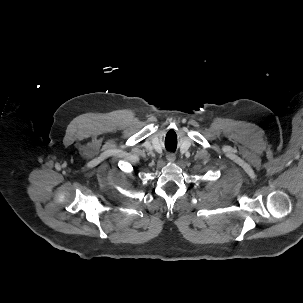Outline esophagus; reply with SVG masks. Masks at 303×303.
Listing matches in <instances>:
<instances>
[{
  "instance_id": "1",
  "label": "esophagus",
  "mask_w": 303,
  "mask_h": 303,
  "mask_svg": "<svg viewBox=\"0 0 303 303\" xmlns=\"http://www.w3.org/2000/svg\"><path fill=\"white\" fill-rule=\"evenodd\" d=\"M167 160L170 162H174L176 160V156L173 153H168L167 154Z\"/></svg>"
}]
</instances>
